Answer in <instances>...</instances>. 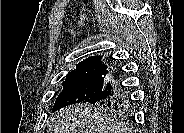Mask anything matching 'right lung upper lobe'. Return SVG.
<instances>
[{"instance_id":"obj_1","label":"right lung upper lobe","mask_w":184,"mask_h":133,"mask_svg":"<svg viewBox=\"0 0 184 133\" xmlns=\"http://www.w3.org/2000/svg\"><path fill=\"white\" fill-rule=\"evenodd\" d=\"M110 59L102 56H91L76 65V69L70 71L66 78H82L97 74L104 75L108 72Z\"/></svg>"}]
</instances>
